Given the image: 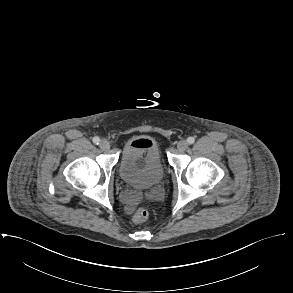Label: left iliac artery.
I'll use <instances>...</instances> for the list:
<instances>
[{
    "label": "left iliac artery",
    "instance_id": "44dca946",
    "mask_svg": "<svg viewBox=\"0 0 293 293\" xmlns=\"http://www.w3.org/2000/svg\"><path fill=\"white\" fill-rule=\"evenodd\" d=\"M194 141H195V139H194L193 137H188V139H187V142H188L189 144H193Z\"/></svg>",
    "mask_w": 293,
    "mask_h": 293
}]
</instances>
